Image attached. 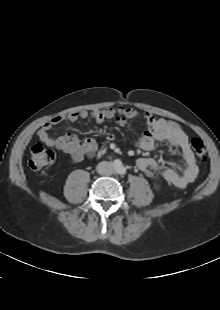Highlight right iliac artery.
<instances>
[{"label": "right iliac artery", "instance_id": "obj_1", "mask_svg": "<svg viewBox=\"0 0 220 310\" xmlns=\"http://www.w3.org/2000/svg\"><path fill=\"white\" fill-rule=\"evenodd\" d=\"M113 164H114L115 168H119L121 166V161L120 160H115Z\"/></svg>", "mask_w": 220, "mask_h": 310}]
</instances>
